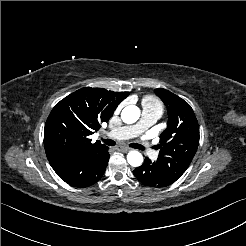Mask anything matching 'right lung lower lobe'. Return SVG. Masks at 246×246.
Segmentation results:
<instances>
[{
  "instance_id": "1",
  "label": "right lung lower lobe",
  "mask_w": 246,
  "mask_h": 246,
  "mask_svg": "<svg viewBox=\"0 0 246 246\" xmlns=\"http://www.w3.org/2000/svg\"><path fill=\"white\" fill-rule=\"evenodd\" d=\"M109 157L108 147L104 146L84 153H58L48 160L62 180L82 188L93 185L103 176Z\"/></svg>"
}]
</instances>
